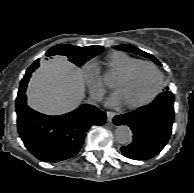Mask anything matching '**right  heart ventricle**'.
<instances>
[{"label": "right heart ventricle", "instance_id": "right-heart-ventricle-1", "mask_svg": "<svg viewBox=\"0 0 194 193\" xmlns=\"http://www.w3.org/2000/svg\"><path fill=\"white\" fill-rule=\"evenodd\" d=\"M142 60L132 57L124 52L116 51L108 55L107 62L110 69L119 76L121 73L126 71L132 65L140 62Z\"/></svg>", "mask_w": 194, "mask_h": 193}]
</instances>
